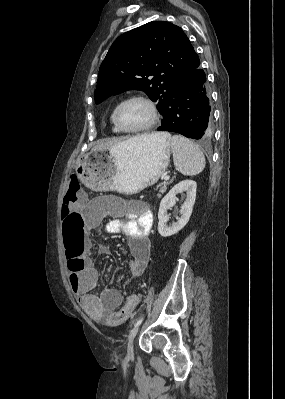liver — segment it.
I'll return each mask as SVG.
<instances>
[{"mask_svg":"<svg viewBox=\"0 0 285 399\" xmlns=\"http://www.w3.org/2000/svg\"><path fill=\"white\" fill-rule=\"evenodd\" d=\"M156 136H158V133L144 134L141 136L130 138L126 141H129V140H132L135 138H154ZM121 142H124V141H120V139L104 140V141H101L100 143H98L93 149H109V148H112V147L118 145Z\"/></svg>","mask_w":285,"mask_h":399,"instance_id":"obj_1","label":"liver"}]
</instances>
